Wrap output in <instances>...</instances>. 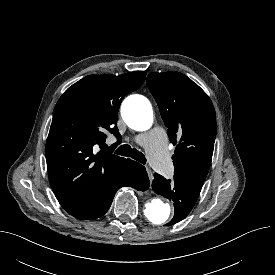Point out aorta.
<instances>
[{
    "label": "aorta",
    "instance_id": "1",
    "mask_svg": "<svg viewBox=\"0 0 275 275\" xmlns=\"http://www.w3.org/2000/svg\"><path fill=\"white\" fill-rule=\"evenodd\" d=\"M121 114L126 124L132 129L147 130L153 123V107L149 100L141 95H132L124 100ZM144 215L154 225L162 226L172 216V208L161 200L147 203Z\"/></svg>",
    "mask_w": 275,
    "mask_h": 275
}]
</instances>
